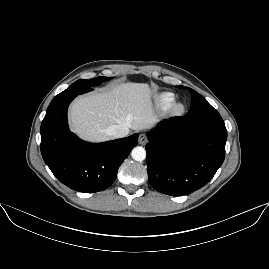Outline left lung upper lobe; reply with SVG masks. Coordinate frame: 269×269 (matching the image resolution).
Listing matches in <instances>:
<instances>
[{
  "instance_id": "1",
  "label": "left lung upper lobe",
  "mask_w": 269,
  "mask_h": 269,
  "mask_svg": "<svg viewBox=\"0 0 269 269\" xmlns=\"http://www.w3.org/2000/svg\"><path fill=\"white\" fill-rule=\"evenodd\" d=\"M191 90V111L186 115L188 119H199L220 115L199 93Z\"/></svg>"
}]
</instances>
